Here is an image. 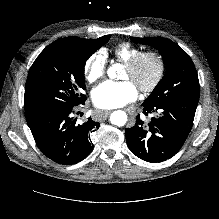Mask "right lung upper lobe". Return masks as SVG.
I'll return each instance as SVG.
<instances>
[{
	"instance_id": "obj_1",
	"label": "right lung upper lobe",
	"mask_w": 219,
	"mask_h": 219,
	"mask_svg": "<svg viewBox=\"0 0 219 219\" xmlns=\"http://www.w3.org/2000/svg\"><path fill=\"white\" fill-rule=\"evenodd\" d=\"M105 37H106V36L100 37V38H98V39H82V38H81V39L84 40V41L87 42V43L93 44V43H95V42H97V41L103 40Z\"/></svg>"
}]
</instances>
